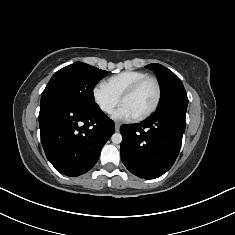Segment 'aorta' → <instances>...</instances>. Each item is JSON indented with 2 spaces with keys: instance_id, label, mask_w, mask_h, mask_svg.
I'll list each match as a JSON object with an SVG mask.
<instances>
[{
  "instance_id": "1",
  "label": "aorta",
  "mask_w": 235,
  "mask_h": 235,
  "mask_svg": "<svg viewBox=\"0 0 235 235\" xmlns=\"http://www.w3.org/2000/svg\"><path fill=\"white\" fill-rule=\"evenodd\" d=\"M111 140L114 144H120L122 142V135L120 133H114Z\"/></svg>"
}]
</instances>
